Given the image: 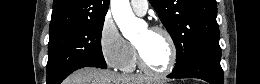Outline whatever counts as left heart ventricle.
<instances>
[{
	"instance_id": "1",
	"label": "left heart ventricle",
	"mask_w": 260,
	"mask_h": 84,
	"mask_svg": "<svg viewBox=\"0 0 260 84\" xmlns=\"http://www.w3.org/2000/svg\"><path fill=\"white\" fill-rule=\"evenodd\" d=\"M135 44L140 48L146 64L156 71L164 70L170 59V47L161 33L144 30Z\"/></svg>"
}]
</instances>
